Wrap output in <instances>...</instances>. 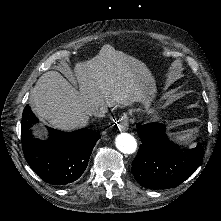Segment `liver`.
Returning <instances> with one entry per match:
<instances>
[{
    "label": "liver",
    "instance_id": "obj_1",
    "mask_svg": "<svg viewBox=\"0 0 221 221\" xmlns=\"http://www.w3.org/2000/svg\"><path fill=\"white\" fill-rule=\"evenodd\" d=\"M111 51V46L103 45L95 57L75 64L79 89L58 71L42 74L30 93L32 111L53 127L74 132L88 125L94 107L126 105L138 100L136 88L142 86L138 77L144 72L113 62ZM120 57L124 58V54ZM30 130L35 139L48 138L44 126L33 123Z\"/></svg>",
    "mask_w": 221,
    "mask_h": 221
}]
</instances>
